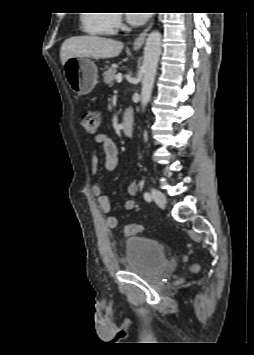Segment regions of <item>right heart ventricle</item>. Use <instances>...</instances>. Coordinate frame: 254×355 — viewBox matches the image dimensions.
Masks as SVG:
<instances>
[{
    "label": "right heart ventricle",
    "instance_id": "e07e8e85",
    "mask_svg": "<svg viewBox=\"0 0 254 355\" xmlns=\"http://www.w3.org/2000/svg\"><path fill=\"white\" fill-rule=\"evenodd\" d=\"M82 26L92 36H109L114 33L109 23V14L105 12L86 13L82 17Z\"/></svg>",
    "mask_w": 254,
    "mask_h": 355
}]
</instances>
